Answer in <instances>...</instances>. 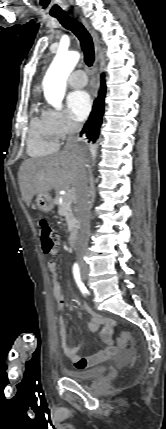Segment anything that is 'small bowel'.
<instances>
[{
	"instance_id": "small-bowel-1",
	"label": "small bowel",
	"mask_w": 166,
	"mask_h": 429,
	"mask_svg": "<svg viewBox=\"0 0 166 429\" xmlns=\"http://www.w3.org/2000/svg\"><path fill=\"white\" fill-rule=\"evenodd\" d=\"M58 249L53 248L48 252L51 256L58 255ZM48 270L53 275V298L55 301V307L58 312H63L66 306V294L62 289L58 278L57 263L53 260L48 262ZM83 308L90 315V320L87 323V329L91 333H95L100 329L99 338L105 345L103 349L92 356L82 357L79 355V346H70L67 341L66 324L63 318H59V331L61 336L62 349L65 356L74 364L77 369H87L102 363L113 357L125 358L130 354V350H126L125 347H119L114 345L112 335L115 324L111 319L103 317L94 312L86 303H83Z\"/></svg>"
}]
</instances>
